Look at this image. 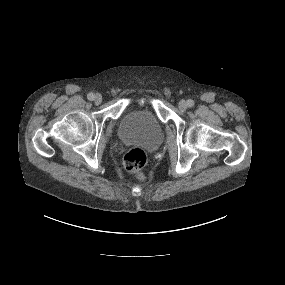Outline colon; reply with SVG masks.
<instances>
[{"label": "colon", "mask_w": 285, "mask_h": 285, "mask_svg": "<svg viewBox=\"0 0 285 285\" xmlns=\"http://www.w3.org/2000/svg\"><path fill=\"white\" fill-rule=\"evenodd\" d=\"M147 162V153L142 148H132L126 152L123 158V164L126 171L142 177V169Z\"/></svg>", "instance_id": "5ec220e1"}]
</instances>
